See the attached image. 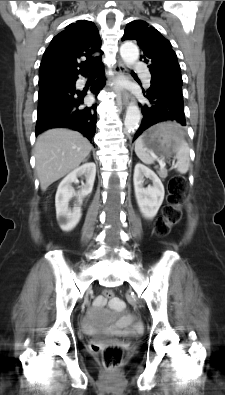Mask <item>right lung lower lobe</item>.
<instances>
[{"mask_svg": "<svg viewBox=\"0 0 225 395\" xmlns=\"http://www.w3.org/2000/svg\"><path fill=\"white\" fill-rule=\"evenodd\" d=\"M95 68L100 75L90 90L98 95L105 84V74L101 62ZM76 79L57 85L38 97L36 136L50 128L66 127L92 140L96 132L97 106H83L86 93L75 89Z\"/></svg>", "mask_w": 225, "mask_h": 395, "instance_id": "right-lung-lower-lobe-1", "label": "right lung lower lobe"}]
</instances>
